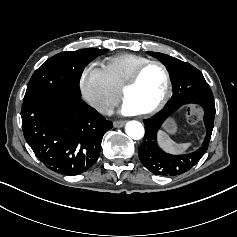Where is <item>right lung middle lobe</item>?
Instances as JSON below:
<instances>
[{"label":"right lung middle lobe","mask_w":237,"mask_h":237,"mask_svg":"<svg viewBox=\"0 0 237 237\" xmlns=\"http://www.w3.org/2000/svg\"><path fill=\"white\" fill-rule=\"evenodd\" d=\"M106 51L88 48L61 52L49 58L32 75L23 99V107L56 95L81 96L79 80L84 67Z\"/></svg>","instance_id":"dd1d6c3e"}]
</instances>
